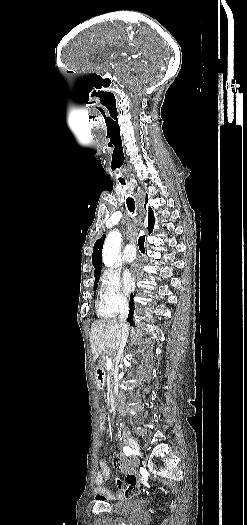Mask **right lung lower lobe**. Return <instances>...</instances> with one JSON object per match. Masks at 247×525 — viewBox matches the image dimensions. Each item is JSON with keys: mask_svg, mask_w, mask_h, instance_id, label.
<instances>
[{"mask_svg": "<svg viewBox=\"0 0 247 525\" xmlns=\"http://www.w3.org/2000/svg\"><path fill=\"white\" fill-rule=\"evenodd\" d=\"M133 313H134V307H133V295L130 296V312L128 315V321L130 323H133Z\"/></svg>", "mask_w": 247, "mask_h": 525, "instance_id": "obj_1", "label": "right lung lower lobe"}]
</instances>
